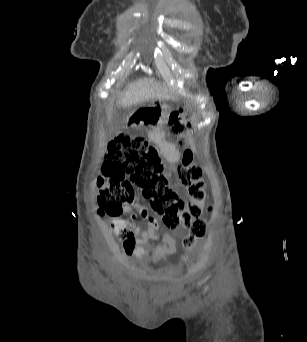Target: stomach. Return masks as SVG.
Here are the masks:
<instances>
[{
	"instance_id": "1",
	"label": "stomach",
	"mask_w": 307,
	"mask_h": 342,
	"mask_svg": "<svg viewBox=\"0 0 307 342\" xmlns=\"http://www.w3.org/2000/svg\"><path fill=\"white\" fill-rule=\"evenodd\" d=\"M169 115V106L162 104L159 108L151 107L132 112L128 123L134 128H142L147 125L149 129H156L168 123Z\"/></svg>"
}]
</instances>
